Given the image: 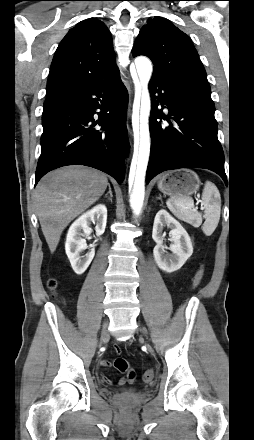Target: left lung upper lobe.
<instances>
[{
  "label": "left lung upper lobe",
  "instance_id": "left-lung-upper-lobe-1",
  "mask_svg": "<svg viewBox=\"0 0 254 440\" xmlns=\"http://www.w3.org/2000/svg\"><path fill=\"white\" fill-rule=\"evenodd\" d=\"M132 54L148 56L154 64L153 75L162 76L170 87L213 103L206 71L191 39L169 20L150 18Z\"/></svg>",
  "mask_w": 254,
  "mask_h": 440
}]
</instances>
